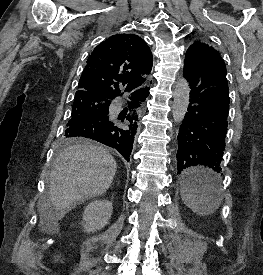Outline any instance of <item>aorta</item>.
<instances>
[{
	"label": "aorta",
	"mask_w": 263,
	"mask_h": 275,
	"mask_svg": "<svg viewBox=\"0 0 263 275\" xmlns=\"http://www.w3.org/2000/svg\"><path fill=\"white\" fill-rule=\"evenodd\" d=\"M190 88L185 78H179L175 83L173 94V119L176 123H181L187 112L189 105Z\"/></svg>",
	"instance_id": "762f6f07"
}]
</instances>
